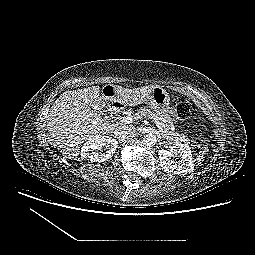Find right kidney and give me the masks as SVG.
I'll use <instances>...</instances> for the list:
<instances>
[{"mask_svg":"<svg viewBox=\"0 0 255 255\" xmlns=\"http://www.w3.org/2000/svg\"><path fill=\"white\" fill-rule=\"evenodd\" d=\"M118 146L116 139L109 136L95 137L85 142L81 148V157L91 162H104L109 160ZM105 147L104 153L98 151Z\"/></svg>","mask_w":255,"mask_h":255,"instance_id":"obj_1","label":"right kidney"}]
</instances>
